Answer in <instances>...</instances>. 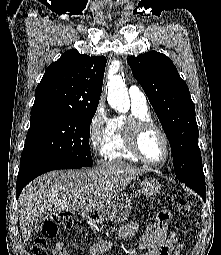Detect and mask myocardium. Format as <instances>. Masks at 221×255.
Returning a JSON list of instances; mask_svg holds the SVG:
<instances>
[{
  "mask_svg": "<svg viewBox=\"0 0 221 255\" xmlns=\"http://www.w3.org/2000/svg\"><path fill=\"white\" fill-rule=\"evenodd\" d=\"M150 130L159 133L166 148V155L162 161L155 162L145 157L141 150L142 137ZM125 138L129 150L143 163L150 166H163L171 158V145L165 131L151 120H131L125 126Z\"/></svg>",
  "mask_w": 221,
  "mask_h": 255,
  "instance_id": "1",
  "label": "myocardium"
}]
</instances>
